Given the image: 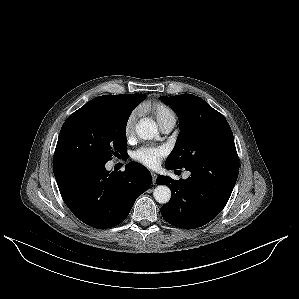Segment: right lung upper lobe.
<instances>
[{
  "instance_id": "1",
  "label": "right lung upper lobe",
  "mask_w": 299,
  "mask_h": 299,
  "mask_svg": "<svg viewBox=\"0 0 299 299\" xmlns=\"http://www.w3.org/2000/svg\"><path fill=\"white\" fill-rule=\"evenodd\" d=\"M139 94H127V95H103L97 97V100H114V101H126L130 102L135 100Z\"/></svg>"
}]
</instances>
